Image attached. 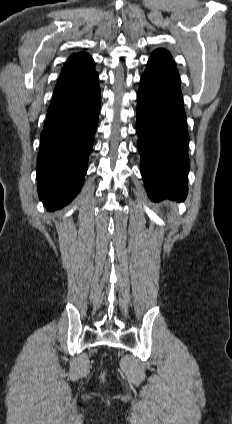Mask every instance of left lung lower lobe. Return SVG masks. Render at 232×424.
<instances>
[{
	"label": "left lung lower lobe",
	"mask_w": 232,
	"mask_h": 424,
	"mask_svg": "<svg viewBox=\"0 0 232 424\" xmlns=\"http://www.w3.org/2000/svg\"><path fill=\"white\" fill-rule=\"evenodd\" d=\"M137 99V148L148 195L153 200H184L189 135L180 77L172 58L148 60Z\"/></svg>",
	"instance_id": "0a47b994"
}]
</instances>
